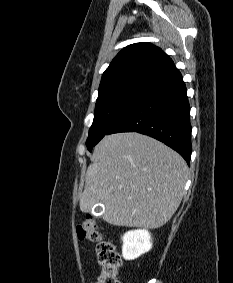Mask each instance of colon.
I'll return each instance as SVG.
<instances>
[{
  "instance_id": "colon-1",
  "label": "colon",
  "mask_w": 233,
  "mask_h": 283,
  "mask_svg": "<svg viewBox=\"0 0 233 283\" xmlns=\"http://www.w3.org/2000/svg\"><path fill=\"white\" fill-rule=\"evenodd\" d=\"M77 233L81 239L96 243L100 272L95 283H120L118 270L122 264L121 257L111 241L101 239L100 225L97 220L87 216L77 226Z\"/></svg>"
}]
</instances>
